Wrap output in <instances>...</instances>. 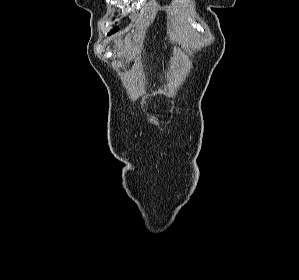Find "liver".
<instances>
[{
    "label": "liver",
    "instance_id": "obj_1",
    "mask_svg": "<svg viewBox=\"0 0 299 280\" xmlns=\"http://www.w3.org/2000/svg\"><path fill=\"white\" fill-rule=\"evenodd\" d=\"M115 42H116V44L118 45V47L121 46V42H120V41H115Z\"/></svg>",
    "mask_w": 299,
    "mask_h": 280
}]
</instances>
